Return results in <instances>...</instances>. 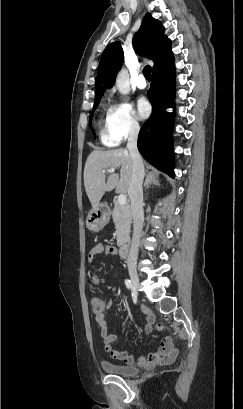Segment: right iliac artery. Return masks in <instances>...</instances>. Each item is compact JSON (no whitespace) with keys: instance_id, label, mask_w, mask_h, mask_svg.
I'll return each instance as SVG.
<instances>
[{"instance_id":"82829eb1","label":"right iliac artery","mask_w":243,"mask_h":409,"mask_svg":"<svg viewBox=\"0 0 243 409\" xmlns=\"http://www.w3.org/2000/svg\"><path fill=\"white\" fill-rule=\"evenodd\" d=\"M125 285H126V287H127L128 289H132V283H131V281H130L129 279H126V280H125Z\"/></svg>"}]
</instances>
